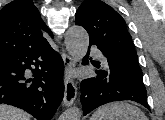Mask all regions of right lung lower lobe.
Returning <instances> with one entry per match:
<instances>
[{"label":"right lung lower lobe","mask_w":165,"mask_h":120,"mask_svg":"<svg viewBox=\"0 0 165 120\" xmlns=\"http://www.w3.org/2000/svg\"><path fill=\"white\" fill-rule=\"evenodd\" d=\"M26 69L33 78L25 76ZM63 70L61 56L48 41L0 59V103L19 107L37 120H50L64 96Z\"/></svg>","instance_id":"98d812e1"}]
</instances>
